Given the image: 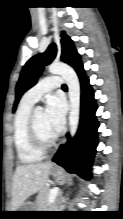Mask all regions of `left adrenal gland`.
Segmentation results:
<instances>
[{
    "label": "left adrenal gland",
    "instance_id": "left-adrenal-gland-1",
    "mask_svg": "<svg viewBox=\"0 0 123 219\" xmlns=\"http://www.w3.org/2000/svg\"><path fill=\"white\" fill-rule=\"evenodd\" d=\"M61 194H62V192H60V194H59V195H61ZM61 202H64V199H63V198H62Z\"/></svg>",
    "mask_w": 123,
    "mask_h": 219
}]
</instances>
